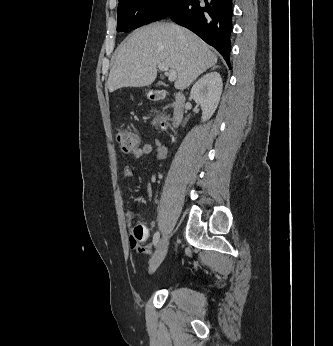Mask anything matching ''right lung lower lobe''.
Listing matches in <instances>:
<instances>
[{
  "label": "right lung lower lobe",
  "mask_w": 333,
  "mask_h": 346,
  "mask_svg": "<svg viewBox=\"0 0 333 346\" xmlns=\"http://www.w3.org/2000/svg\"><path fill=\"white\" fill-rule=\"evenodd\" d=\"M168 17L217 49L230 67L232 0H182Z\"/></svg>",
  "instance_id": "right-lung-lower-lobe-1"
}]
</instances>
